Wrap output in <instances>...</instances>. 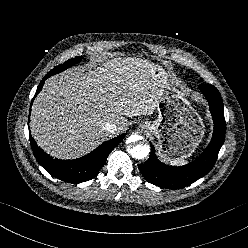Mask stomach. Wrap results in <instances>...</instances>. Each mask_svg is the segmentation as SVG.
<instances>
[{
	"label": "stomach",
	"mask_w": 248,
	"mask_h": 248,
	"mask_svg": "<svg viewBox=\"0 0 248 248\" xmlns=\"http://www.w3.org/2000/svg\"><path fill=\"white\" fill-rule=\"evenodd\" d=\"M161 90L154 121H142L141 130L158 139L160 155L168 161L188 158L205 133V126L186 95L176 88L160 67L150 70Z\"/></svg>",
	"instance_id": "0dacf381"
}]
</instances>
